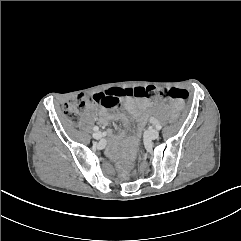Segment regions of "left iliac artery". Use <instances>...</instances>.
Returning <instances> with one entry per match:
<instances>
[{"mask_svg":"<svg viewBox=\"0 0 241 241\" xmlns=\"http://www.w3.org/2000/svg\"><path fill=\"white\" fill-rule=\"evenodd\" d=\"M155 127L157 130H161V128H162V126L159 123H157Z\"/></svg>","mask_w":241,"mask_h":241,"instance_id":"obj_1","label":"left iliac artery"}]
</instances>
